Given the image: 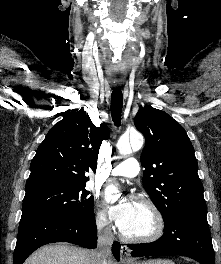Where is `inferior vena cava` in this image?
<instances>
[{
    "label": "inferior vena cava",
    "mask_w": 221,
    "mask_h": 264,
    "mask_svg": "<svg viewBox=\"0 0 221 264\" xmlns=\"http://www.w3.org/2000/svg\"><path fill=\"white\" fill-rule=\"evenodd\" d=\"M107 220H99L98 227V247L95 251L96 263L107 264L111 255V245L114 241V236L108 225Z\"/></svg>",
    "instance_id": "inferior-vena-cava-1"
}]
</instances>
